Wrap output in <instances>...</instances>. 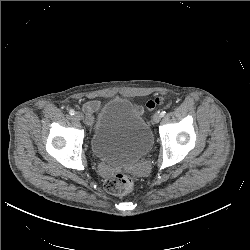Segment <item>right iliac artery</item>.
<instances>
[{
    "instance_id": "82829eb1",
    "label": "right iliac artery",
    "mask_w": 250,
    "mask_h": 250,
    "mask_svg": "<svg viewBox=\"0 0 250 250\" xmlns=\"http://www.w3.org/2000/svg\"><path fill=\"white\" fill-rule=\"evenodd\" d=\"M69 114H70V115H74V114H75V111H74L73 109H70V110H69Z\"/></svg>"
}]
</instances>
